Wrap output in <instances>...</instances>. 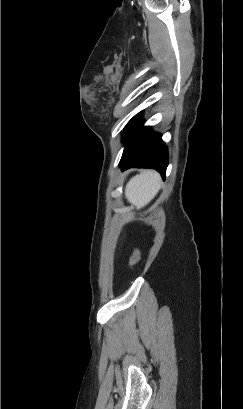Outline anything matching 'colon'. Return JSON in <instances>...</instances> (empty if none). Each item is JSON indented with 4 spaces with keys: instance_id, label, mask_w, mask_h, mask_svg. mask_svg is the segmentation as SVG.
Here are the masks:
<instances>
[{
    "instance_id": "5ec220e1",
    "label": "colon",
    "mask_w": 243,
    "mask_h": 409,
    "mask_svg": "<svg viewBox=\"0 0 243 409\" xmlns=\"http://www.w3.org/2000/svg\"><path fill=\"white\" fill-rule=\"evenodd\" d=\"M140 260V249L138 247H135L133 249L132 255L129 258V264L134 266L136 265Z\"/></svg>"
}]
</instances>
